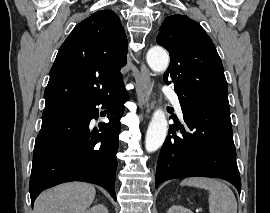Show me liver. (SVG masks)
I'll list each match as a JSON object with an SVG mask.
<instances>
[{"label": "liver", "mask_w": 270, "mask_h": 213, "mask_svg": "<svg viewBox=\"0 0 270 213\" xmlns=\"http://www.w3.org/2000/svg\"><path fill=\"white\" fill-rule=\"evenodd\" d=\"M94 186L71 182L43 192L36 199L34 213H83L93 202Z\"/></svg>", "instance_id": "obj_1"}]
</instances>
